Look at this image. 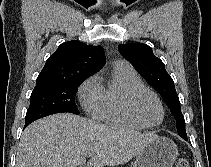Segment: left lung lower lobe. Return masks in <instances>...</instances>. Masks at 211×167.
<instances>
[{
    "label": "left lung lower lobe",
    "instance_id": "1",
    "mask_svg": "<svg viewBox=\"0 0 211 167\" xmlns=\"http://www.w3.org/2000/svg\"><path fill=\"white\" fill-rule=\"evenodd\" d=\"M183 139L187 140V136H181Z\"/></svg>",
    "mask_w": 211,
    "mask_h": 167
}]
</instances>
